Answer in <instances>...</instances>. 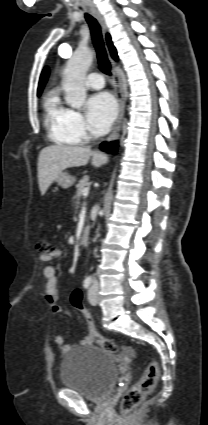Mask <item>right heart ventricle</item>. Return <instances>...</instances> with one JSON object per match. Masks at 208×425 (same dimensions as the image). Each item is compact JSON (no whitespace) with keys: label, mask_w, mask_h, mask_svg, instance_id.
Listing matches in <instances>:
<instances>
[{"label":"right heart ventricle","mask_w":208,"mask_h":425,"mask_svg":"<svg viewBox=\"0 0 208 425\" xmlns=\"http://www.w3.org/2000/svg\"><path fill=\"white\" fill-rule=\"evenodd\" d=\"M67 111L57 93L47 94L44 102L45 126L48 137L56 144L76 145L79 140L72 134L67 124Z\"/></svg>","instance_id":"right-heart-ventricle-1"}]
</instances>
